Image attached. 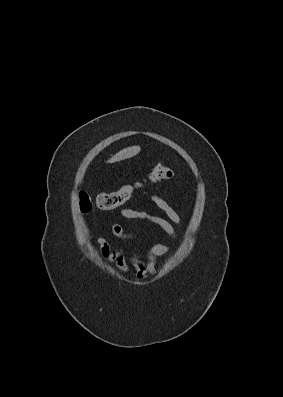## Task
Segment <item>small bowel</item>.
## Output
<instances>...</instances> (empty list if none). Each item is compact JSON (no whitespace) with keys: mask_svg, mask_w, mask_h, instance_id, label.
I'll return each instance as SVG.
<instances>
[{"mask_svg":"<svg viewBox=\"0 0 283 397\" xmlns=\"http://www.w3.org/2000/svg\"><path fill=\"white\" fill-rule=\"evenodd\" d=\"M145 196H148L156 206L161 209L167 218L149 213L143 210H136L132 208H123L119 211L122 218L133 221H144L162 229L172 240L176 237L175 225L181 223L179 214L158 194L151 191H143ZM111 233L114 237L121 241H132L137 239V235L129 232L123 228L119 223L111 225ZM97 243L100 247L103 258L113 263L119 271L127 273L132 267L135 276L138 280H146L150 276L158 272L157 260L168 254L171 250L170 244L157 243L149 247L146 259H143L137 252L127 257L121 248H112L105 238H97Z\"/></svg>","mask_w":283,"mask_h":397,"instance_id":"c3829d8e","label":"small bowel"}]
</instances>
